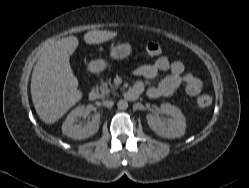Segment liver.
Listing matches in <instances>:
<instances>
[{"instance_id": "liver-1", "label": "liver", "mask_w": 249, "mask_h": 188, "mask_svg": "<svg viewBox=\"0 0 249 188\" xmlns=\"http://www.w3.org/2000/svg\"><path fill=\"white\" fill-rule=\"evenodd\" d=\"M116 36L117 32L93 30L84 35V41L100 44ZM78 45L75 36L50 43L34 66L30 87L32 101L38 116L46 124L58 121L82 98L69 62Z\"/></svg>"}]
</instances>
